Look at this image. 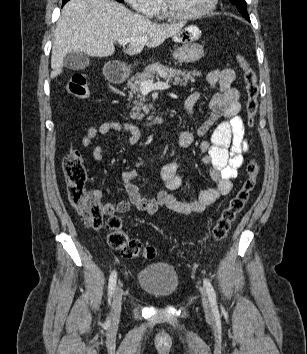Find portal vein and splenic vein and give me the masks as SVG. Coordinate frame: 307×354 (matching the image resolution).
I'll return each instance as SVG.
<instances>
[{"instance_id": "obj_1", "label": "portal vein and splenic vein", "mask_w": 307, "mask_h": 354, "mask_svg": "<svg viewBox=\"0 0 307 354\" xmlns=\"http://www.w3.org/2000/svg\"><path fill=\"white\" fill-rule=\"evenodd\" d=\"M117 41L120 45L124 47L131 41V39L119 38ZM168 88H170V85L167 82L154 83L152 80H145L141 82V91L143 92H150L152 90L168 89Z\"/></svg>"}]
</instances>
